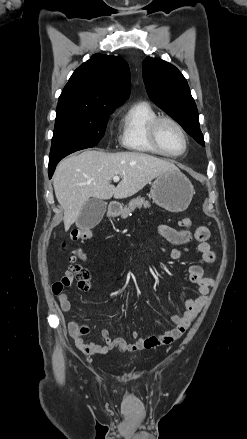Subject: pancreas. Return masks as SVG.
Returning <instances> with one entry per match:
<instances>
[{"mask_svg":"<svg viewBox=\"0 0 247 439\" xmlns=\"http://www.w3.org/2000/svg\"><path fill=\"white\" fill-rule=\"evenodd\" d=\"M151 205L150 203L145 200L143 197H137L132 199L127 206L124 207V209L121 211V217L123 219L127 218L132 214V212L137 208H149Z\"/></svg>","mask_w":247,"mask_h":439,"instance_id":"obj_1","label":"pancreas"}]
</instances>
